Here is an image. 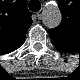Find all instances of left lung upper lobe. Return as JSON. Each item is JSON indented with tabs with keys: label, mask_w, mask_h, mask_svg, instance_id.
<instances>
[{
	"label": "left lung upper lobe",
	"mask_w": 80,
	"mask_h": 80,
	"mask_svg": "<svg viewBox=\"0 0 80 80\" xmlns=\"http://www.w3.org/2000/svg\"><path fill=\"white\" fill-rule=\"evenodd\" d=\"M60 9L62 12V22L57 28L50 29L49 35L52 40H56V36H59L60 38H62V40L69 41L71 39L72 31L75 30V32L78 33L80 25L78 23V20L72 13L70 7L68 8L65 6L64 1L61 3Z\"/></svg>",
	"instance_id": "5c2ea615"
}]
</instances>
